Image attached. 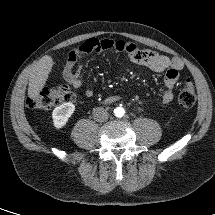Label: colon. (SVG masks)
Segmentation results:
<instances>
[{
  "mask_svg": "<svg viewBox=\"0 0 215 215\" xmlns=\"http://www.w3.org/2000/svg\"><path fill=\"white\" fill-rule=\"evenodd\" d=\"M74 98V93L67 86L45 88L39 94L30 98L28 104L36 109H50L62 103L72 102ZM178 101L183 108H191L195 104L196 93L191 79L188 78L186 80L185 86L179 94Z\"/></svg>",
  "mask_w": 215,
  "mask_h": 215,
  "instance_id": "obj_1",
  "label": "colon"
}]
</instances>
